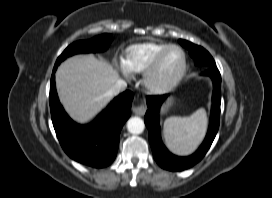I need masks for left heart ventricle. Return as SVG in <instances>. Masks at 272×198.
<instances>
[{"label":"left heart ventricle","mask_w":272,"mask_h":198,"mask_svg":"<svg viewBox=\"0 0 272 198\" xmlns=\"http://www.w3.org/2000/svg\"><path fill=\"white\" fill-rule=\"evenodd\" d=\"M183 65V55L177 50L173 49L165 56L160 72L159 77L162 80H169L175 77L181 70Z\"/></svg>","instance_id":"1"}]
</instances>
